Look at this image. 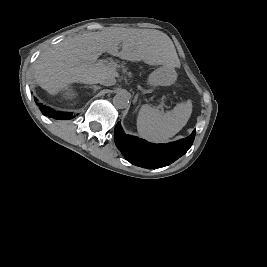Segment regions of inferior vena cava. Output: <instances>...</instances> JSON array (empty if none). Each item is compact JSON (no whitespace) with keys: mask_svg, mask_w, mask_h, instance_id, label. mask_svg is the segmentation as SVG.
Segmentation results:
<instances>
[{"mask_svg":"<svg viewBox=\"0 0 267 267\" xmlns=\"http://www.w3.org/2000/svg\"><path fill=\"white\" fill-rule=\"evenodd\" d=\"M97 83H100L101 85H104V86H112L116 83V79L113 76L107 75L99 79Z\"/></svg>","mask_w":267,"mask_h":267,"instance_id":"1","label":"inferior vena cava"}]
</instances>
